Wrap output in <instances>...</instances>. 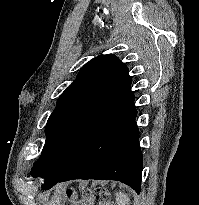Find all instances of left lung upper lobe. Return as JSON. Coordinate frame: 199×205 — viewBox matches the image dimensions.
Here are the masks:
<instances>
[{
  "instance_id": "left-lung-upper-lobe-1",
  "label": "left lung upper lobe",
  "mask_w": 199,
  "mask_h": 205,
  "mask_svg": "<svg viewBox=\"0 0 199 205\" xmlns=\"http://www.w3.org/2000/svg\"><path fill=\"white\" fill-rule=\"evenodd\" d=\"M128 69L115 55L87 62L61 94L45 128L46 142L34 164L33 177L62 176L98 124L131 92Z\"/></svg>"
}]
</instances>
